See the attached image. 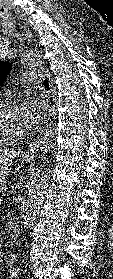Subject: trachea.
<instances>
[{
	"instance_id": "trachea-1",
	"label": "trachea",
	"mask_w": 113,
	"mask_h": 279,
	"mask_svg": "<svg viewBox=\"0 0 113 279\" xmlns=\"http://www.w3.org/2000/svg\"><path fill=\"white\" fill-rule=\"evenodd\" d=\"M44 86H45L46 88H49V83H48V80H47V79L44 80Z\"/></svg>"
}]
</instances>
